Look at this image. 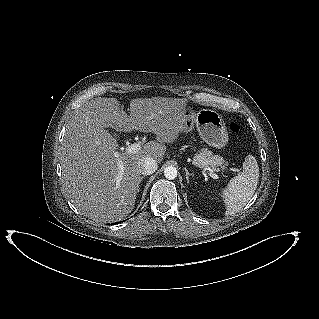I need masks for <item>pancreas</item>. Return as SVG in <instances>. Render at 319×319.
I'll list each match as a JSON object with an SVG mask.
<instances>
[{
  "instance_id": "obj_1",
  "label": "pancreas",
  "mask_w": 319,
  "mask_h": 319,
  "mask_svg": "<svg viewBox=\"0 0 319 319\" xmlns=\"http://www.w3.org/2000/svg\"><path fill=\"white\" fill-rule=\"evenodd\" d=\"M224 159L219 155H213L207 148L201 149L193 158V164L199 168L217 170L224 164ZM226 165V164H225ZM225 165L222 166L225 169Z\"/></svg>"
}]
</instances>
